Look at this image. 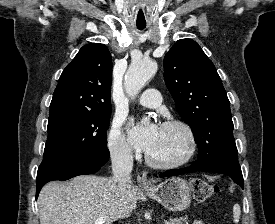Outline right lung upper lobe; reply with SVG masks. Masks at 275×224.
I'll return each instance as SVG.
<instances>
[{"mask_svg": "<svg viewBox=\"0 0 275 224\" xmlns=\"http://www.w3.org/2000/svg\"><path fill=\"white\" fill-rule=\"evenodd\" d=\"M112 58L104 44L83 46L62 72L50 115L62 112H111Z\"/></svg>", "mask_w": 275, "mask_h": 224, "instance_id": "1", "label": "right lung upper lobe"}]
</instances>
